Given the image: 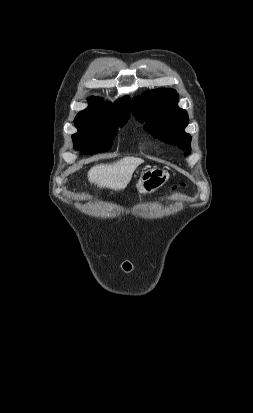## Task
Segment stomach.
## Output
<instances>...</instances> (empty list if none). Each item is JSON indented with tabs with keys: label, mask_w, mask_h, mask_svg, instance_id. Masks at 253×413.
Instances as JSON below:
<instances>
[{
	"label": "stomach",
	"mask_w": 253,
	"mask_h": 413,
	"mask_svg": "<svg viewBox=\"0 0 253 413\" xmlns=\"http://www.w3.org/2000/svg\"><path fill=\"white\" fill-rule=\"evenodd\" d=\"M169 179L168 171L162 168H150L144 170L136 182V188L140 194H150L162 187Z\"/></svg>",
	"instance_id": "1"
}]
</instances>
